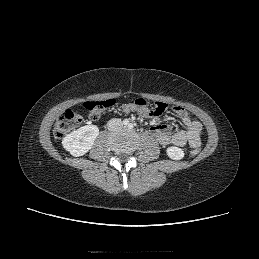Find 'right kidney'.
Listing matches in <instances>:
<instances>
[{
  "instance_id": "right-kidney-1",
  "label": "right kidney",
  "mask_w": 259,
  "mask_h": 259,
  "mask_svg": "<svg viewBox=\"0 0 259 259\" xmlns=\"http://www.w3.org/2000/svg\"><path fill=\"white\" fill-rule=\"evenodd\" d=\"M98 135L96 125H85L65 136L62 145L73 156H82L92 148Z\"/></svg>"
}]
</instances>
